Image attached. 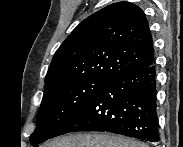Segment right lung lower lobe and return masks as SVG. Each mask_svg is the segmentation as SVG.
<instances>
[{
    "instance_id": "obj_1",
    "label": "right lung lower lobe",
    "mask_w": 183,
    "mask_h": 147,
    "mask_svg": "<svg viewBox=\"0 0 183 147\" xmlns=\"http://www.w3.org/2000/svg\"><path fill=\"white\" fill-rule=\"evenodd\" d=\"M156 93L154 64L124 73L110 80L67 118L53 137L102 131L158 142Z\"/></svg>"
}]
</instances>
